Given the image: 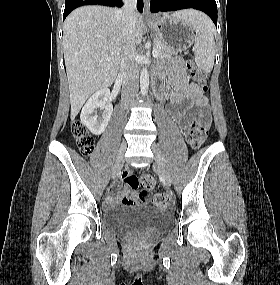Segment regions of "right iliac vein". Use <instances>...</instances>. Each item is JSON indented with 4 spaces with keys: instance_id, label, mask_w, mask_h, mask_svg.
<instances>
[{
    "instance_id": "obj_1",
    "label": "right iliac vein",
    "mask_w": 280,
    "mask_h": 285,
    "mask_svg": "<svg viewBox=\"0 0 280 285\" xmlns=\"http://www.w3.org/2000/svg\"><path fill=\"white\" fill-rule=\"evenodd\" d=\"M126 150V144L123 142L120 146V150L118 156L116 158L114 168H113V178H115L116 174L121 170L124 160V152Z\"/></svg>"
}]
</instances>
